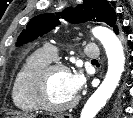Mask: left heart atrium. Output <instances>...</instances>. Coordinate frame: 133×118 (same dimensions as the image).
<instances>
[{
	"instance_id": "obj_1",
	"label": "left heart atrium",
	"mask_w": 133,
	"mask_h": 118,
	"mask_svg": "<svg viewBox=\"0 0 133 118\" xmlns=\"http://www.w3.org/2000/svg\"><path fill=\"white\" fill-rule=\"evenodd\" d=\"M83 83H84V77L80 72L76 71V72L69 73L68 85H69L70 92L74 96H76L80 92L83 86Z\"/></svg>"
}]
</instances>
